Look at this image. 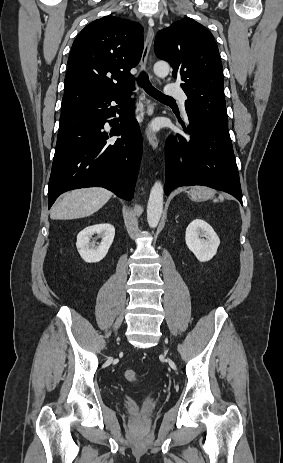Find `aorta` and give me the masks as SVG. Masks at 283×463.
I'll use <instances>...</instances> for the list:
<instances>
[{
  "instance_id": "762f6f07",
  "label": "aorta",
  "mask_w": 283,
  "mask_h": 463,
  "mask_svg": "<svg viewBox=\"0 0 283 463\" xmlns=\"http://www.w3.org/2000/svg\"><path fill=\"white\" fill-rule=\"evenodd\" d=\"M154 73L159 77L168 75L170 67L167 62L159 61L154 64ZM163 212V186L160 181H156L151 189L148 206L147 221L151 228H155Z\"/></svg>"
}]
</instances>
